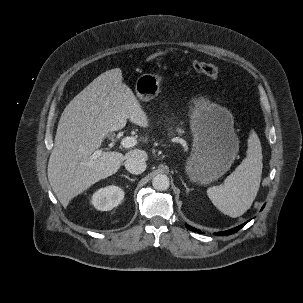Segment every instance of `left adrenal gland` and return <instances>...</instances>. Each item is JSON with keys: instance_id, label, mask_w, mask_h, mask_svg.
Returning <instances> with one entry per match:
<instances>
[{"instance_id": "1", "label": "left adrenal gland", "mask_w": 303, "mask_h": 303, "mask_svg": "<svg viewBox=\"0 0 303 303\" xmlns=\"http://www.w3.org/2000/svg\"><path fill=\"white\" fill-rule=\"evenodd\" d=\"M181 181H182V184L184 185L185 189H186V192L189 193L190 189L187 187L186 183L183 181L182 177H181Z\"/></svg>"}]
</instances>
